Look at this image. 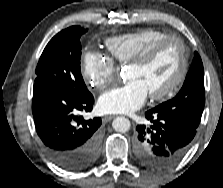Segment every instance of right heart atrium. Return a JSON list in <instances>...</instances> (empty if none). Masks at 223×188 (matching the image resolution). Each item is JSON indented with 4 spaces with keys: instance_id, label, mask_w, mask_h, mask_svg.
Segmentation results:
<instances>
[{
    "instance_id": "d8ad5b80",
    "label": "right heart atrium",
    "mask_w": 223,
    "mask_h": 188,
    "mask_svg": "<svg viewBox=\"0 0 223 188\" xmlns=\"http://www.w3.org/2000/svg\"><path fill=\"white\" fill-rule=\"evenodd\" d=\"M81 73L89 87L103 90L115 77V64L108 56L88 51L82 58Z\"/></svg>"
}]
</instances>
